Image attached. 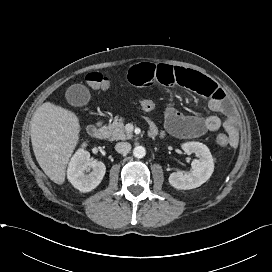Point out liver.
<instances>
[{"mask_svg": "<svg viewBox=\"0 0 272 272\" xmlns=\"http://www.w3.org/2000/svg\"><path fill=\"white\" fill-rule=\"evenodd\" d=\"M75 113L51 102L43 103L31 121V142L38 164L56 184L65 182L66 166L79 140Z\"/></svg>", "mask_w": 272, "mask_h": 272, "instance_id": "1", "label": "liver"}]
</instances>
